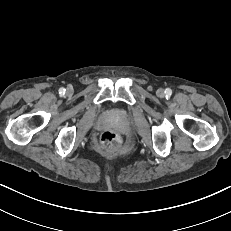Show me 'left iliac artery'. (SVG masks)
<instances>
[{
	"label": "left iliac artery",
	"mask_w": 231,
	"mask_h": 231,
	"mask_svg": "<svg viewBox=\"0 0 231 231\" xmlns=\"http://www.w3.org/2000/svg\"><path fill=\"white\" fill-rule=\"evenodd\" d=\"M165 94H166V96H171L172 90L170 88H166L165 89Z\"/></svg>",
	"instance_id": "left-iliac-artery-1"
}]
</instances>
